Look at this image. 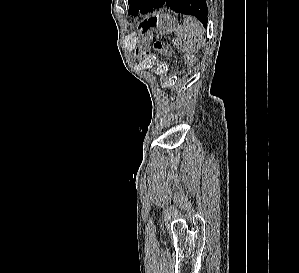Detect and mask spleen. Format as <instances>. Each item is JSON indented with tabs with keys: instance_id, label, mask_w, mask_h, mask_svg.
<instances>
[{
	"instance_id": "3e777b00",
	"label": "spleen",
	"mask_w": 299,
	"mask_h": 273,
	"mask_svg": "<svg viewBox=\"0 0 299 273\" xmlns=\"http://www.w3.org/2000/svg\"><path fill=\"white\" fill-rule=\"evenodd\" d=\"M175 33L179 42L174 45L182 51L193 54L201 48L204 29L198 20L192 17L184 19L183 26H178Z\"/></svg>"
}]
</instances>
